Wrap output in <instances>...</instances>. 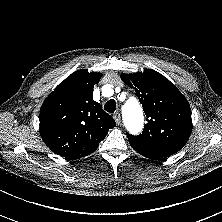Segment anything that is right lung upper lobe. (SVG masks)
I'll return each mask as SVG.
<instances>
[{"label":"right lung upper lobe","mask_w":222,"mask_h":222,"mask_svg":"<svg viewBox=\"0 0 222 222\" xmlns=\"http://www.w3.org/2000/svg\"><path fill=\"white\" fill-rule=\"evenodd\" d=\"M100 73L82 69L62 81L44 101L39 131L56 154L78 159L94 152L116 123L93 100Z\"/></svg>","instance_id":"obj_1"}]
</instances>
